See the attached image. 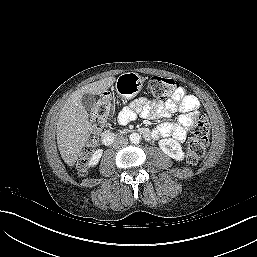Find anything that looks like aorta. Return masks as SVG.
Here are the masks:
<instances>
[{
  "label": "aorta",
  "instance_id": "aorta-1",
  "mask_svg": "<svg viewBox=\"0 0 257 257\" xmlns=\"http://www.w3.org/2000/svg\"><path fill=\"white\" fill-rule=\"evenodd\" d=\"M130 142L133 144H138L140 142V135L138 133H132L129 136Z\"/></svg>",
  "mask_w": 257,
  "mask_h": 257
}]
</instances>
